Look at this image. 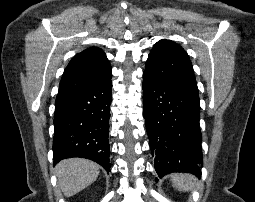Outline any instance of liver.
Masks as SVG:
<instances>
[{"label":"liver","mask_w":255,"mask_h":202,"mask_svg":"<svg viewBox=\"0 0 255 202\" xmlns=\"http://www.w3.org/2000/svg\"><path fill=\"white\" fill-rule=\"evenodd\" d=\"M99 173V165L81 158L66 159L56 166L58 182L66 197L88 187L97 179Z\"/></svg>","instance_id":"1"}]
</instances>
